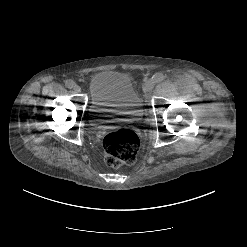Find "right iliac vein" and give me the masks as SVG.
Returning <instances> with one entry per match:
<instances>
[{"label":"right iliac vein","instance_id":"63e3f726","mask_svg":"<svg viewBox=\"0 0 247 247\" xmlns=\"http://www.w3.org/2000/svg\"><path fill=\"white\" fill-rule=\"evenodd\" d=\"M73 90L75 91V93H80V92H81V88H80V86H78V85H75V86L73 87Z\"/></svg>","mask_w":247,"mask_h":247}]
</instances>
